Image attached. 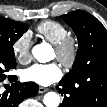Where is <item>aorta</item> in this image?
Instances as JSON below:
<instances>
[{
	"instance_id": "aorta-1",
	"label": "aorta",
	"mask_w": 107,
	"mask_h": 107,
	"mask_svg": "<svg viewBox=\"0 0 107 107\" xmlns=\"http://www.w3.org/2000/svg\"><path fill=\"white\" fill-rule=\"evenodd\" d=\"M34 58L40 62L45 63L49 60V49L47 44H37L32 48ZM43 103L46 107H58L60 104V97L55 92H48L44 95Z\"/></svg>"
}]
</instances>
